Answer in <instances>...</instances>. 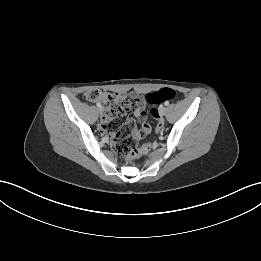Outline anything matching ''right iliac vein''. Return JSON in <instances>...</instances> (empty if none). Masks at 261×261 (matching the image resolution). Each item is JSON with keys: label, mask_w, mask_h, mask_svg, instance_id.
Listing matches in <instances>:
<instances>
[{"label": "right iliac vein", "mask_w": 261, "mask_h": 261, "mask_svg": "<svg viewBox=\"0 0 261 261\" xmlns=\"http://www.w3.org/2000/svg\"><path fill=\"white\" fill-rule=\"evenodd\" d=\"M103 111H104V110H103V108H102V107H100V108H99V113H100V114H102V113H103Z\"/></svg>", "instance_id": "obj_1"}]
</instances>
